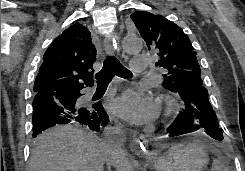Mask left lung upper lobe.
<instances>
[{
    "label": "left lung upper lobe",
    "mask_w": 245,
    "mask_h": 171,
    "mask_svg": "<svg viewBox=\"0 0 245 171\" xmlns=\"http://www.w3.org/2000/svg\"><path fill=\"white\" fill-rule=\"evenodd\" d=\"M131 19L148 49L160 57L155 65L165 69L164 88L176 92L186 84L203 85L194 48L179 26L145 11L134 12Z\"/></svg>",
    "instance_id": "5c2ea615"
}]
</instances>
